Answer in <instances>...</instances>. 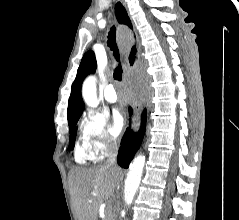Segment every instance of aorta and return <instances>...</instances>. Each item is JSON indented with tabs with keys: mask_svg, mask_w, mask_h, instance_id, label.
Wrapping results in <instances>:
<instances>
[{
	"mask_svg": "<svg viewBox=\"0 0 239 220\" xmlns=\"http://www.w3.org/2000/svg\"><path fill=\"white\" fill-rule=\"evenodd\" d=\"M82 95L84 101L89 106L96 107L98 105L99 102L97 100V92L94 78L90 77L84 82L82 88ZM144 165L145 156L142 154L137 155L134 158L133 162L130 164L124 188V200L127 206H130L133 202L134 196L141 182Z\"/></svg>",
	"mask_w": 239,
	"mask_h": 220,
	"instance_id": "obj_1",
	"label": "aorta"
}]
</instances>
